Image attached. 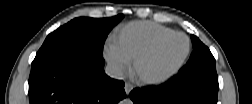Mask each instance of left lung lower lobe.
<instances>
[{
  "instance_id": "0a47b994",
  "label": "left lung lower lobe",
  "mask_w": 252,
  "mask_h": 104,
  "mask_svg": "<svg viewBox=\"0 0 252 104\" xmlns=\"http://www.w3.org/2000/svg\"><path fill=\"white\" fill-rule=\"evenodd\" d=\"M219 84L216 68L178 72L166 83L153 88H135L134 104H216Z\"/></svg>"
}]
</instances>
